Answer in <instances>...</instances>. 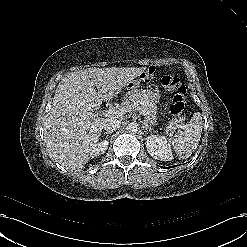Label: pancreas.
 I'll return each mask as SVG.
<instances>
[{"label": "pancreas", "mask_w": 247, "mask_h": 247, "mask_svg": "<svg viewBox=\"0 0 247 247\" xmlns=\"http://www.w3.org/2000/svg\"><path fill=\"white\" fill-rule=\"evenodd\" d=\"M125 108L130 111H139L146 118V121L155 124L157 115V106L155 103L149 102L147 99L143 98L141 95H135L129 97L125 102ZM179 121L177 119H172L169 122L170 126H176Z\"/></svg>", "instance_id": "pancreas-1"}]
</instances>
